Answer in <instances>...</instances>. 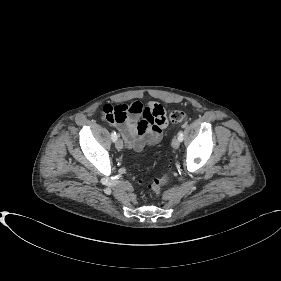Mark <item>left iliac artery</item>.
<instances>
[{
  "mask_svg": "<svg viewBox=\"0 0 281 281\" xmlns=\"http://www.w3.org/2000/svg\"><path fill=\"white\" fill-rule=\"evenodd\" d=\"M178 138L180 139V141L183 140V132L182 131H179Z\"/></svg>",
  "mask_w": 281,
  "mask_h": 281,
  "instance_id": "left-iliac-artery-1",
  "label": "left iliac artery"
}]
</instances>
